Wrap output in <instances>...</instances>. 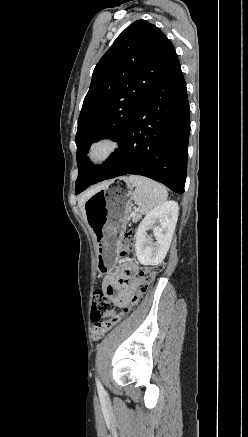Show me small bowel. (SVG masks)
<instances>
[{
  "label": "small bowel",
  "instance_id": "obj_1",
  "mask_svg": "<svg viewBox=\"0 0 248 437\" xmlns=\"http://www.w3.org/2000/svg\"><path fill=\"white\" fill-rule=\"evenodd\" d=\"M138 269L134 262H125L103 279V290L117 306L127 307L130 304L138 286Z\"/></svg>",
  "mask_w": 248,
  "mask_h": 437
}]
</instances>
